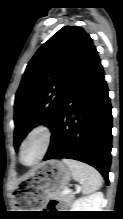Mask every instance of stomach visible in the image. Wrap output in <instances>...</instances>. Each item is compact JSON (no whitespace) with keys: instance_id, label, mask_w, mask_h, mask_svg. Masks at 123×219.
<instances>
[{"instance_id":"stomach-1","label":"stomach","mask_w":123,"mask_h":219,"mask_svg":"<svg viewBox=\"0 0 123 219\" xmlns=\"http://www.w3.org/2000/svg\"><path fill=\"white\" fill-rule=\"evenodd\" d=\"M70 168L59 160H49L34 168L16 188L15 203L18 211H39L49 198L67 186L71 180Z\"/></svg>"}]
</instances>
